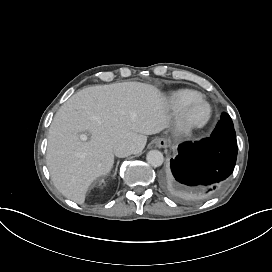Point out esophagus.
Returning <instances> with one entry per match:
<instances>
[{"label": "esophagus", "instance_id": "1", "mask_svg": "<svg viewBox=\"0 0 272 272\" xmlns=\"http://www.w3.org/2000/svg\"><path fill=\"white\" fill-rule=\"evenodd\" d=\"M170 144V141L165 137H158L155 139V146L157 148H168Z\"/></svg>", "mask_w": 272, "mask_h": 272}]
</instances>
